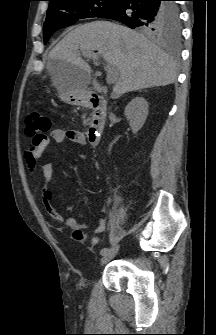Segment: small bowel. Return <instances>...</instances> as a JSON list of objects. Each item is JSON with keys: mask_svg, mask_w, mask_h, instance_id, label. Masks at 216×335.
<instances>
[{"mask_svg": "<svg viewBox=\"0 0 216 335\" xmlns=\"http://www.w3.org/2000/svg\"><path fill=\"white\" fill-rule=\"evenodd\" d=\"M51 138L58 144H64L67 142L75 143L78 145H85L86 138L83 132L78 130H65V129H53L50 133ZM49 144V137L46 135L41 141L36 144H32L25 154L26 164L28 169L32 172L35 169L37 160L41 157L47 145ZM54 175V166L52 162H45L42 166L43 176V187L41 189L42 199L46 210L52 216V218L58 222L63 221L62 214L56 209L51 202V199L46 197L47 191H49V184ZM71 208V206H69ZM68 224L72 230H82L85 225L77 223L73 219H68ZM106 228V222L103 218L98 220V223L94 229L95 239L100 235Z\"/></svg>", "mask_w": 216, "mask_h": 335, "instance_id": "small-bowel-1", "label": "small bowel"}]
</instances>
